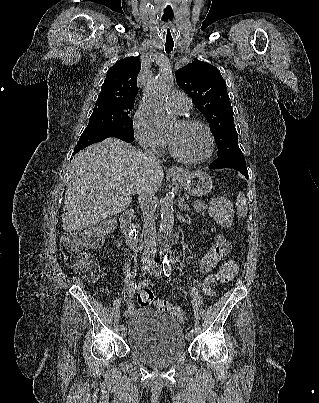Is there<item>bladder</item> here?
I'll use <instances>...</instances> for the list:
<instances>
[{
    "label": "bladder",
    "instance_id": "31cf9c89",
    "mask_svg": "<svg viewBox=\"0 0 319 403\" xmlns=\"http://www.w3.org/2000/svg\"><path fill=\"white\" fill-rule=\"evenodd\" d=\"M130 352L142 363L166 368L185 356L186 335L178 321L162 311L140 308L127 321Z\"/></svg>",
    "mask_w": 319,
    "mask_h": 403
}]
</instances>
